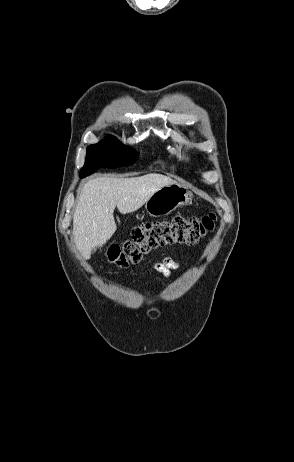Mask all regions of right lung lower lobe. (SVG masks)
Instances as JSON below:
<instances>
[{"instance_id":"obj_1","label":"right lung lower lobe","mask_w":294,"mask_h":462,"mask_svg":"<svg viewBox=\"0 0 294 462\" xmlns=\"http://www.w3.org/2000/svg\"><path fill=\"white\" fill-rule=\"evenodd\" d=\"M118 166H119V163L115 158L108 156L104 153H98L90 158L88 172L80 175L79 177L84 178L92 174L93 172H95V170L101 167L113 168V167H118Z\"/></svg>"}]
</instances>
